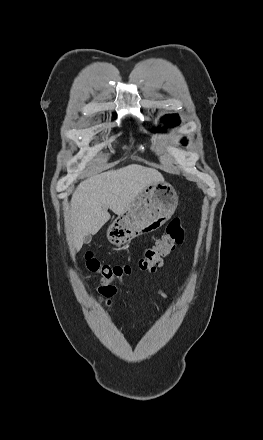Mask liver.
<instances>
[{"label":"liver","mask_w":263,"mask_h":440,"mask_svg":"<svg viewBox=\"0 0 263 440\" xmlns=\"http://www.w3.org/2000/svg\"><path fill=\"white\" fill-rule=\"evenodd\" d=\"M163 180L159 171L132 164L81 182L72 195L68 216L71 255L82 248L86 235H95L110 219L108 209L122 215L146 186Z\"/></svg>","instance_id":"6515ba94"}]
</instances>
